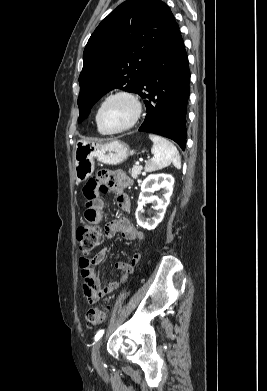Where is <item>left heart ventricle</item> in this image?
I'll use <instances>...</instances> for the list:
<instances>
[{
  "label": "left heart ventricle",
  "instance_id": "b2bd125f",
  "mask_svg": "<svg viewBox=\"0 0 267 391\" xmlns=\"http://www.w3.org/2000/svg\"><path fill=\"white\" fill-rule=\"evenodd\" d=\"M134 113L131 102L123 97L107 102L101 112V121L109 129H118L127 125Z\"/></svg>",
  "mask_w": 267,
  "mask_h": 391
}]
</instances>
